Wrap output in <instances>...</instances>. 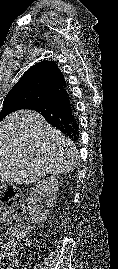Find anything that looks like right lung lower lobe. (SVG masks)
<instances>
[{"label": "right lung lower lobe", "mask_w": 118, "mask_h": 269, "mask_svg": "<svg viewBox=\"0 0 118 269\" xmlns=\"http://www.w3.org/2000/svg\"><path fill=\"white\" fill-rule=\"evenodd\" d=\"M25 109L37 111L49 124L59 129L74 142H78L79 122L67 87Z\"/></svg>", "instance_id": "98d812e1"}]
</instances>
